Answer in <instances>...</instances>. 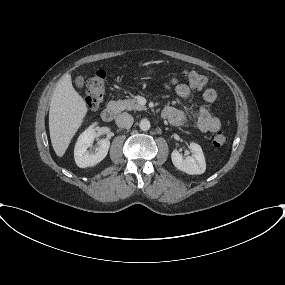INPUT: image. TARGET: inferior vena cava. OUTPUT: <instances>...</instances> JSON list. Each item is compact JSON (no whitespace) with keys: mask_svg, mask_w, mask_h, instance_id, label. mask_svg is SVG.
Wrapping results in <instances>:
<instances>
[{"mask_svg":"<svg viewBox=\"0 0 285 285\" xmlns=\"http://www.w3.org/2000/svg\"><path fill=\"white\" fill-rule=\"evenodd\" d=\"M133 121V117L126 112L119 114L115 119L116 125L120 128H130Z\"/></svg>","mask_w":285,"mask_h":285,"instance_id":"obj_1","label":"inferior vena cava"}]
</instances>
